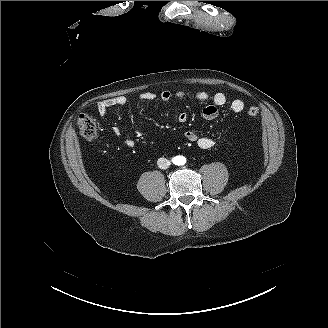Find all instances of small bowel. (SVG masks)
I'll return each mask as SVG.
<instances>
[{
  "instance_id": "1",
  "label": "small bowel",
  "mask_w": 328,
  "mask_h": 328,
  "mask_svg": "<svg viewBox=\"0 0 328 328\" xmlns=\"http://www.w3.org/2000/svg\"><path fill=\"white\" fill-rule=\"evenodd\" d=\"M173 97H176L178 99L193 98L201 102H211V104L203 108L201 112V116L204 120H213L217 118L219 115V107L224 106L228 103L226 95L222 92H216L212 94L206 91L188 93L183 90H178L175 92H172L170 90H163L159 93L146 91L138 96V100L143 102L155 100L167 101ZM127 102L128 99L125 96L108 98L98 102L97 112L100 116H104L109 109L124 106L127 104ZM229 107L233 112L238 113L244 110L245 104L241 99H233L229 102ZM187 119L188 115L185 112H181L177 116V120L179 122H186ZM113 133L116 136H120V130L117 127L113 128ZM184 138L190 142L196 143L197 146L203 150L210 149L215 144L214 140L211 137L203 135L199 130L196 129H190L185 131ZM124 143L127 147L130 148L135 145V142L132 139H126Z\"/></svg>"
}]
</instances>
